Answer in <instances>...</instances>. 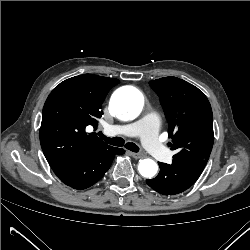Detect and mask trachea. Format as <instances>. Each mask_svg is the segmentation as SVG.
Listing matches in <instances>:
<instances>
[{
    "mask_svg": "<svg viewBox=\"0 0 250 250\" xmlns=\"http://www.w3.org/2000/svg\"><path fill=\"white\" fill-rule=\"evenodd\" d=\"M98 135L108 144L113 145V146H123L132 151V152H139V147L137 145H135L134 143L131 142H127L125 143L124 139H122L121 137H114V138H109L106 137L105 135L102 134V132H99Z\"/></svg>",
    "mask_w": 250,
    "mask_h": 250,
    "instance_id": "3493384b",
    "label": "trachea"
}]
</instances>
